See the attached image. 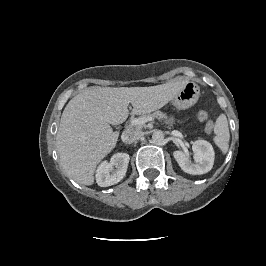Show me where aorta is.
Wrapping results in <instances>:
<instances>
[{"label": "aorta", "instance_id": "obj_1", "mask_svg": "<svg viewBox=\"0 0 266 266\" xmlns=\"http://www.w3.org/2000/svg\"><path fill=\"white\" fill-rule=\"evenodd\" d=\"M152 140L155 144H161L164 140V133L161 130H156L152 134Z\"/></svg>", "mask_w": 266, "mask_h": 266}]
</instances>
